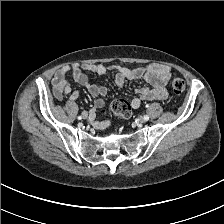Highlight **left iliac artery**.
<instances>
[{
	"label": "left iliac artery",
	"instance_id": "left-iliac-artery-1",
	"mask_svg": "<svg viewBox=\"0 0 224 224\" xmlns=\"http://www.w3.org/2000/svg\"><path fill=\"white\" fill-rule=\"evenodd\" d=\"M144 118L146 121L149 119L148 115H144Z\"/></svg>",
	"mask_w": 224,
	"mask_h": 224
}]
</instances>
